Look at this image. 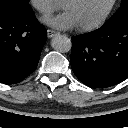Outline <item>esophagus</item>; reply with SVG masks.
Here are the masks:
<instances>
[{
  "mask_svg": "<svg viewBox=\"0 0 128 128\" xmlns=\"http://www.w3.org/2000/svg\"><path fill=\"white\" fill-rule=\"evenodd\" d=\"M59 34L58 32H56L55 30H52V29H48L47 30V35H48V38H52L54 37L55 35Z\"/></svg>",
  "mask_w": 128,
  "mask_h": 128,
  "instance_id": "34e87169",
  "label": "esophagus"
}]
</instances>
